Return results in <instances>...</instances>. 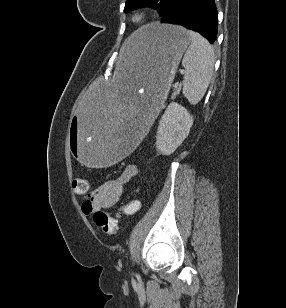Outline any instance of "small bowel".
Returning <instances> with one entry per match:
<instances>
[{
    "label": "small bowel",
    "instance_id": "obj_1",
    "mask_svg": "<svg viewBox=\"0 0 286 308\" xmlns=\"http://www.w3.org/2000/svg\"><path fill=\"white\" fill-rule=\"evenodd\" d=\"M137 175L135 165H127L117 177L108 179L90 192L84 193L82 211L91 215L94 211L113 208L122 198L125 185Z\"/></svg>",
    "mask_w": 286,
    "mask_h": 308
}]
</instances>
